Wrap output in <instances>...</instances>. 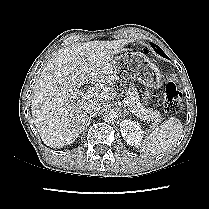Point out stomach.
Listing matches in <instances>:
<instances>
[{
  "label": "stomach",
  "instance_id": "stomach-1",
  "mask_svg": "<svg viewBox=\"0 0 209 209\" xmlns=\"http://www.w3.org/2000/svg\"><path fill=\"white\" fill-rule=\"evenodd\" d=\"M111 68L113 74L119 79L137 80L145 86L153 88H159L162 85V74L143 53L119 54L113 59Z\"/></svg>",
  "mask_w": 209,
  "mask_h": 209
}]
</instances>
